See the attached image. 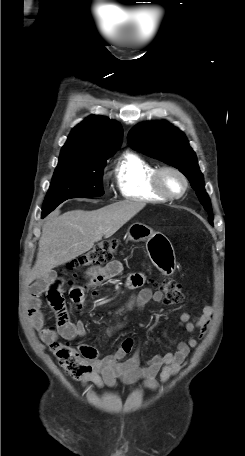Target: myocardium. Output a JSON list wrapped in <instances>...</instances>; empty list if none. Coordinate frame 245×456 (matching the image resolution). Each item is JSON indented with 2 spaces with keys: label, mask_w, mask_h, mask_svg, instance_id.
I'll return each instance as SVG.
<instances>
[{
  "label": "myocardium",
  "mask_w": 245,
  "mask_h": 456,
  "mask_svg": "<svg viewBox=\"0 0 245 456\" xmlns=\"http://www.w3.org/2000/svg\"><path fill=\"white\" fill-rule=\"evenodd\" d=\"M165 172H172L176 175H178L181 180L183 181V189L179 194H171L169 193L162 185L161 178L163 173ZM151 187L154 190L155 193H157L159 196L165 198L166 200H177L180 199L185 195V193L188 190L189 187V181L186 175L178 168L174 166H162L159 168H156V170L153 172L151 176Z\"/></svg>",
  "instance_id": "f54148a6"
}]
</instances>
